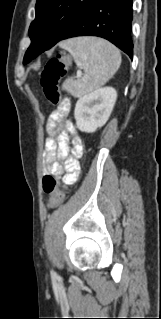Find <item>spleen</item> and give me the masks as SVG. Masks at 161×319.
<instances>
[{
  "mask_svg": "<svg viewBox=\"0 0 161 319\" xmlns=\"http://www.w3.org/2000/svg\"><path fill=\"white\" fill-rule=\"evenodd\" d=\"M61 47L74 58L84 74L66 79L62 89L80 98L103 86L119 69L120 51L108 41L96 37H77L63 41Z\"/></svg>",
  "mask_w": 161,
  "mask_h": 319,
  "instance_id": "3e777b00",
  "label": "spleen"
}]
</instances>
